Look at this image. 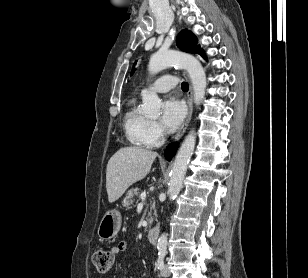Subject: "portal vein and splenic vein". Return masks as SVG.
<instances>
[{
	"label": "portal vein and splenic vein",
	"instance_id": "portal-vein-and-splenic-vein-1",
	"mask_svg": "<svg viewBox=\"0 0 308 278\" xmlns=\"http://www.w3.org/2000/svg\"><path fill=\"white\" fill-rule=\"evenodd\" d=\"M140 197H141V203H140V205H142L143 202L146 201V193H142V194L140 195Z\"/></svg>",
	"mask_w": 308,
	"mask_h": 278
}]
</instances>
